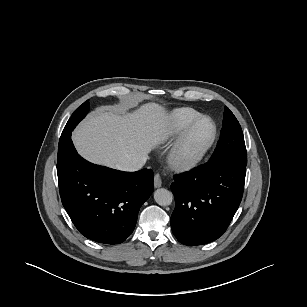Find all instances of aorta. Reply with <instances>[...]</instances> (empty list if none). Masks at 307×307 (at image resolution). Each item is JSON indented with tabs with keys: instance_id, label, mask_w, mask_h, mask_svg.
<instances>
[{
	"instance_id": "1",
	"label": "aorta",
	"mask_w": 307,
	"mask_h": 307,
	"mask_svg": "<svg viewBox=\"0 0 307 307\" xmlns=\"http://www.w3.org/2000/svg\"><path fill=\"white\" fill-rule=\"evenodd\" d=\"M154 199L160 206H167L172 203L173 194L165 188H160L154 192Z\"/></svg>"
}]
</instances>
